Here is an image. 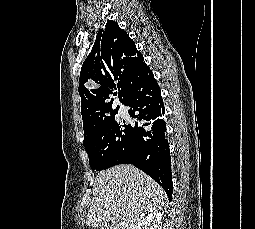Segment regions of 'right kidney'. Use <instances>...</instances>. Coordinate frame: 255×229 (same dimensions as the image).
Here are the masks:
<instances>
[{
    "instance_id": "right-kidney-1",
    "label": "right kidney",
    "mask_w": 255,
    "mask_h": 229,
    "mask_svg": "<svg viewBox=\"0 0 255 229\" xmlns=\"http://www.w3.org/2000/svg\"><path fill=\"white\" fill-rule=\"evenodd\" d=\"M162 214L160 211H153L143 218L135 229H162Z\"/></svg>"
}]
</instances>
